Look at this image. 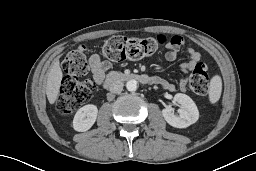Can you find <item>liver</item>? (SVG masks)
Returning <instances> with one entry per match:
<instances>
[{
  "label": "liver",
  "mask_w": 256,
  "mask_h": 171,
  "mask_svg": "<svg viewBox=\"0 0 256 171\" xmlns=\"http://www.w3.org/2000/svg\"><path fill=\"white\" fill-rule=\"evenodd\" d=\"M63 77L59 60H55L47 78L46 95L50 104H54L58 98L61 80Z\"/></svg>",
  "instance_id": "obj_1"
}]
</instances>
